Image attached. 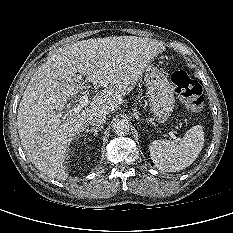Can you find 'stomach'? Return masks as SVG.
<instances>
[{
    "label": "stomach",
    "mask_w": 233,
    "mask_h": 233,
    "mask_svg": "<svg viewBox=\"0 0 233 233\" xmlns=\"http://www.w3.org/2000/svg\"><path fill=\"white\" fill-rule=\"evenodd\" d=\"M144 80L151 111L158 122L164 123L174 109L173 86L162 71L152 66L146 69Z\"/></svg>",
    "instance_id": "0dacf381"
}]
</instances>
